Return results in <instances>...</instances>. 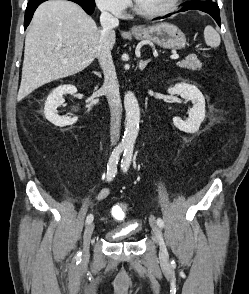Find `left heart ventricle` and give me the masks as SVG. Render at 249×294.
<instances>
[{
	"label": "left heart ventricle",
	"instance_id": "1",
	"mask_svg": "<svg viewBox=\"0 0 249 294\" xmlns=\"http://www.w3.org/2000/svg\"><path fill=\"white\" fill-rule=\"evenodd\" d=\"M140 6L146 10L159 11L172 5L174 0H137Z\"/></svg>",
	"mask_w": 249,
	"mask_h": 294
}]
</instances>
